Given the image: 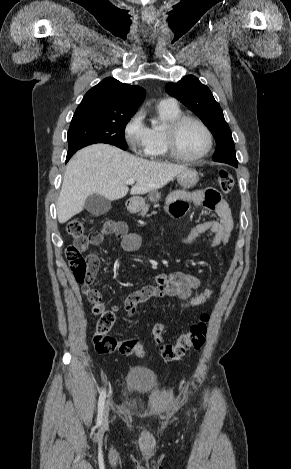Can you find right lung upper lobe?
Segmentation results:
<instances>
[{
    "instance_id": "1",
    "label": "right lung upper lobe",
    "mask_w": 291,
    "mask_h": 469,
    "mask_svg": "<svg viewBox=\"0 0 291 469\" xmlns=\"http://www.w3.org/2000/svg\"><path fill=\"white\" fill-rule=\"evenodd\" d=\"M144 98L142 87L108 77L85 94L75 114L133 116Z\"/></svg>"
}]
</instances>
